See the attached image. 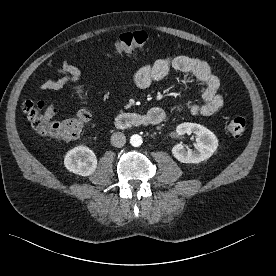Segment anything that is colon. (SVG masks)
<instances>
[{
    "mask_svg": "<svg viewBox=\"0 0 276 276\" xmlns=\"http://www.w3.org/2000/svg\"><path fill=\"white\" fill-rule=\"evenodd\" d=\"M152 41V37L143 31L123 33L115 39L111 48L115 52H131L144 48ZM22 110L38 133L59 142L78 137L90 118L88 110L81 107L72 116L55 119L56 110L47 108L46 103L41 99L26 100ZM245 129L246 120L240 116L234 117L226 128L228 135L234 138L240 137Z\"/></svg>",
    "mask_w": 276,
    "mask_h": 276,
    "instance_id": "5ec220e1",
    "label": "colon"
}]
</instances>
